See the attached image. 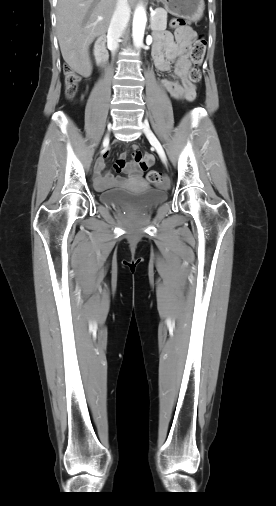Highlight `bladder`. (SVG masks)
I'll use <instances>...</instances> for the list:
<instances>
[{"instance_id":"31cf9c89","label":"bladder","mask_w":276,"mask_h":506,"mask_svg":"<svg viewBox=\"0 0 276 506\" xmlns=\"http://www.w3.org/2000/svg\"><path fill=\"white\" fill-rule=\"evenodd\" d=\"M103 203L110 206L133 205L138 208H148L164 202L167 193L158 188H147L140 192L131 190H114L100 194Z\"/></svg>"}]
</instances>
